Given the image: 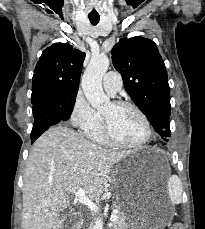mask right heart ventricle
<instances>
[{"label":"right heart ventricle","instance_id":"right-heart-ventricle-1","mask_svg":"<svg viewBox=\"0 0 205 229\" xmlns=\"http://www.w3.org/2000/svg\"><path fill=\"white\" fill-rule=\"evenodd\" d=\"M84 133L90 140L96 143L99 144L107 143L102 130V118L100 114L97 123L90 129L86 130Z\"/></svg>","mask_w":205,"mask_h":229}]
</instances>
